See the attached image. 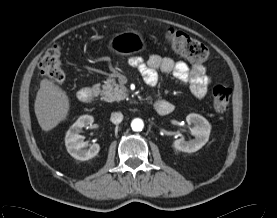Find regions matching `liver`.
Here are the masks:
<instances>
[{"mask_svg":"<svg viewBox=\"0 0 277 218\" xmlns=\"http://www.w3.org/2000/svg\"><path fill=\"white\" fill-rule=\"evenodd\" d=\"M70 108L69 98L53 81L43 79L37 92L34 110L43 131H50L64 121Z\"/></svg>","mask_w":277,"mask_h":218,"instance_id":"obj_1","label":"liver"}]
</instances>
